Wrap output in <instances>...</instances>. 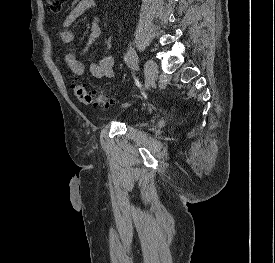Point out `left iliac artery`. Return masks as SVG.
<instances>
[{
  "label": "left iliac artery",
  "mask_w": 275,
  "mask_h": 263,
  "mask_svg": "<svg viewBox=\"0 0 275 263\" xmlns=\"http://www.w3.org/2000/svg\"><path fill=\"white\" fill-rule=\"evenodd\" d=\"M127 64L133 70L138 69V56L135 49L131 45L127 50Z\"/></svg>",
  "instance_id": "44dca946"
}]
</instances>
